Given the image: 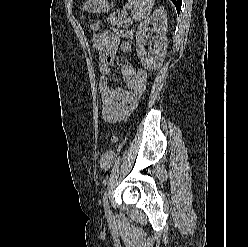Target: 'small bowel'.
Masks as SVG:
<instances>
[{"label": "small bowel", "mask_w": 248, "mask_h": 247, "mask_svg": "<svg viewBox=\"0 0 248 247\" xmlns=\"http://www.w3.org/2000/svg\"><path fill=\"white\" fill-rule=\"evenodd\" d=\"M121 35L128 37V32H121ZM93 47L98 55L99 65V90L102 99V116L107 122H117L126 120L135 109L139 99H135L132 94V87L136 78V71L131 64L121 66L122 79L128 90L120 87H113L115 82L113 66L116 64L119 50L128 51L129 44L121 41L116 31H104L95 36ZM111 142L117 141L116 135H111ZM114 155L106 152L101 158V166L105 169L112 165Z\"/></svg>", "instance_id": "1"}]
</instances>
